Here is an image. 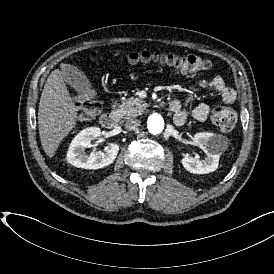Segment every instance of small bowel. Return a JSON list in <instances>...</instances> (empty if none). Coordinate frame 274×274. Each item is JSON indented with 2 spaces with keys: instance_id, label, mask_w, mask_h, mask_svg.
Wrapping results in <instances>:
<instances>
[{
  "instance_id": "c3829d8e",
  "label": "small bowel",
  "mask_w": 274,
  "mask_h": 274,
  "mask_svg": "<svg viewBox=\"0 0 274 274\" xmlns=\"http://www.w3.org/2000/svg\"><path fill=\"white\" fill-rule=\"evenodd\" d=\"M199 85L218 93L223 104H233L237 98L235 90L227 86L220 75H215L210 79L200 80ZM169 108L174 114V123L177 126L184 125L187 120V113L181 108L180 102L176 99L171 100ZM209 111L210 108L207 104L200 103L194 107L192 116L197 121H205L209 115Z\"/></svg>"
}]
</instances>
